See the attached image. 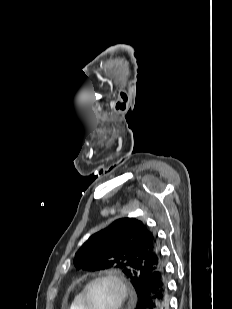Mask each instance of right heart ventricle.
<instances>
[{
	"label": "right heart ventricle",
	"instance_id": "obj_1",
	"mask_svg": "<svg viewBox=\"0 0 232 309\" xmlns=\"http://www.w3.org/2000/svg\"><path fill=\"white\" fill-rule=\"evenodd\" d=\"M81 297H82V291H79L73 298L69 309H82V302H81Z\"/></svg>",
	"mask_w": 232,
	"mask_h": 309
}]
</instances>
